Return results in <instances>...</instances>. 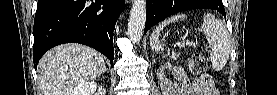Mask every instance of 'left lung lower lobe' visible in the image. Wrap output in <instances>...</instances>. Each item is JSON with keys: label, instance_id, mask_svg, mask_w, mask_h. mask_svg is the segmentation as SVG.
I'll return each mask as SVG.
<instances>
[{"label": "left lung lower lobe", "instance_id": "1", "mask_svg": "<svg viewBox=\"0 0 277 95\" xmlns=\"http://www.w3.org/2000/svg\"><path fill=\"white\" fill-rule=\"evenodd\" d=\"M204 5L199 6H182L180 0H146V25L144 33H146L152 26L163 21L165 18L180 11L208 8L219 11L224 17L225 9L221 0H198Z\"/></svg>", "mask_w": 277, "mask_h": 95}]
</instances>
